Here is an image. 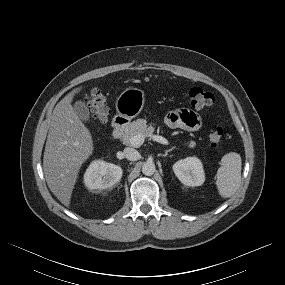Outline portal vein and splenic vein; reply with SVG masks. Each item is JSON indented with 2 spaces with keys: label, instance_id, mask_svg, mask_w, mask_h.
I'll return each mask as SVG.
<instances>
[{
  "label": "portal vein and splenic vein",
  "instance_id": "18ae733b",
  "mask_svg": "<svg viewBox=\"0 0 285 285\" xmlns=\"http://www.w3.org/2000/svg\"><path fill=\"white\" fill-rule=\"evenodd\" d=\"M152 139L158 143L164 144V145H168L169 142L167 139H165L162 136L159 135H153ZM145 137L141 134L135 135L133 137H131L130 139V144L134 147H140L143 143H144Z\"/></svg>",
  "mask_w": 285,
  "mask_h": 285
}]
</instances>
